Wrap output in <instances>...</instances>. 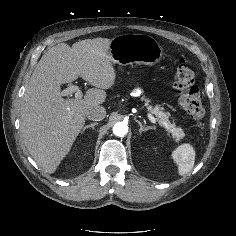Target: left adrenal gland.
I'll return each instance as SVG.
<instances>
[{"label":"left adrenal gland","instance_id":"left-adrenal-gland-1","mask_svg":"<svg viewBox=\"0 0 236 236\" xmlns=\"http://www.w3.org/2000/svg\"><path fill=\"white\" fill-rule=\"evenodd\" d=\"M136 122H137V123L139 124V126H140V129H139V132H140V133H142L143 131H147L148 129H150L149 127H144L140 121L136 120Z\"/></svg>","mask_w":236,"mask_h":236}]
</instances>
